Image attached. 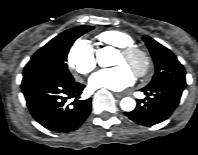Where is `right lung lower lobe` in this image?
<instances>
[{"instance_id":"1","label":"right lung lower lobe","mask_w":198,"mask_h":155,"mask_svg":"<svg viewBox=\"0 0 198 155\" xmlns=\"http://www.w3.org/2000/svg\"><path fill=\"white\" fill-rule=\"evenodd\" d=\"M21 87L31 114L50 131L76 130L90 114L91 99L79 97L85 86L74 80L33 74L23 76Z\"/></svg>"}]
</instances>
